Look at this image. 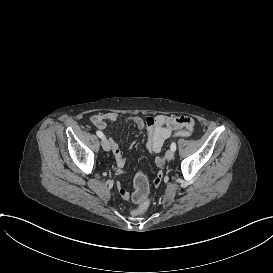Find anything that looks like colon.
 Instances as JSON below:
<instances>
[{
    "label": "colon",
    "instance_id": "1",
    "mask_svg": "<svg viewBox=\"0 0 273 273\" xmlns=\"http://www.w3.org/2000/svg\"><path fill=\"white\" fill-rule=\"evenodd\" d=\"M168 119L170 120L171 118L169 117ZM145 120L148 126H155L157 124V119L154 116L148 115L145 117ZM135 186L137 189L134 193V199L139 206L133 209L132 214L134 217L139 218L146 214L150 208L148 199L145 196L148 191V185L144 179L143 174H136Z\"/></svg>",
    "mask_w": 273,
    "mask_h": 273
}]
</instances>
